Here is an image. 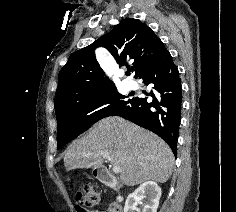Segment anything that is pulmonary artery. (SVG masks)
<instances>
[{
  "label": "pulmonary artery",
  "instance_id": "e3ab8cb5",
  "mask_svg": "<svg viewBox=\"0 0 236 212\" xmlns=\"http://www.w3.org/2000/svg\"><path fill=\"white\" fill-rule=\"evenodd\" d=\"M126 86L129 90H133V89H136L138 85L135 81L130 80V81H127Z\"/></svg>",
  "mask_w": 236,
  "mask_h": 212
}]
</instances>
